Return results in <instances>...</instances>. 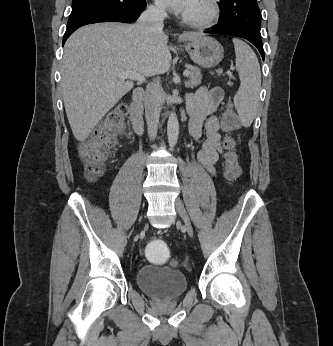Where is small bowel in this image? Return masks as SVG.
Returning a JSON list of instances; mask_svg holds the SVG:
<instances>
[{
	"label": "small bowel",
	"mask_w": 333,
	"mask_h": 346,
	"mask_svg": "<svg viewBox=\"0 0 333 346\" xmlns=\"http://www.w3.org/2000/svg\"><path fill=\"white\" fill-rule=\"evenodd\" d=\"M223 99L220 87L202 86L187 98V111L190 115V134L197 139L205 133L202 149L198 153L199 162L212 174L223 153L220 129L223 128L216 110Z\"/></svg>",
	"instance_id": "small-bowel-1"
}]
</instances>
